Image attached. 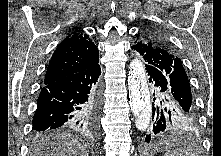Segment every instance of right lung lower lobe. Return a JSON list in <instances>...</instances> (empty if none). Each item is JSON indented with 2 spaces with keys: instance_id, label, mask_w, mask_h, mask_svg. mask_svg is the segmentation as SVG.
Instances as JSON below:
<instances>
[{
  "instance_id": "right-lung-lower-lobe-1",
  "label": "right lung lower lobe",
  "mask_w": 221,
  "mask_h": 156,
  "mask_svg": "<svg viewBox=\"0 0 221 156\" xmlns=\"http://www.w3.org/2000/svg\"><path fill=\"white\" fill-rule=\"evenodd\" d=\"M99 62L84 71L44 85L33 117L35 134L96 126L100 95Z\"/></svg>"
}]
</instances>
